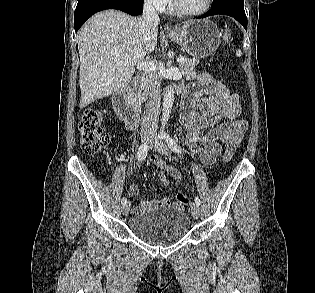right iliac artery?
Wrapping results in <instances>:
<instances>
[{
	"label": "right iliac artery",
	"instance_id": "right-iliac-artery-1",
	"mask_svg": "<svg viewBox=\"0 0 315 293\" xmlns=\"http://www.w3.org/2000/svg\"><path fill=\"white\" fill-rule=\"evenodd\" d=\"M148 150H149V146L146 143L142 144L139 147L138 152H137V156H138V161L139 162L143 161L146 158ZM126 202H127V199L125 197H123L121 199V203L124 204Z\"/></svg>",
	"mask_w": 315,
	"mask_h": 293
}]
</instances>
